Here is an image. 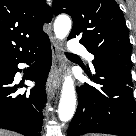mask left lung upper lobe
I'll return each instance as SVG.
<instances>
[{"mask_svg":"<svg viewBox=\"0 0 136 136\" xmlns=\"http://www.w3.org/2000/svg\"><path fill=\"white\" fill-rule=\"evenodd\" d=\"M53 13H67L73 28L69 39L95 56L93 65L131 69V44L123 13L115 0H53Z\"/></svg>","mask_w":136,"mask_h":136,"instance_id":"left-lung-upper-lobe-1","label":"left lung upper lobe"}]
</instances>
